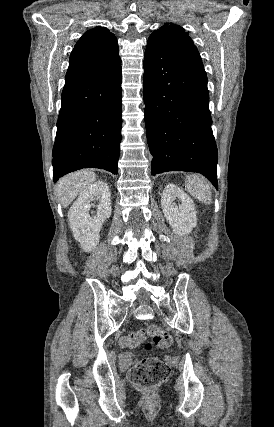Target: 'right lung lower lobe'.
<instances>
[{
  "label": "right lung lower lobe",
  "instance_id": "obj_1",
  "mask_svg": "<svg viewBox=\"0 0 274 427\" xmlns=\"http://www.w3.org/2000/svg\"><path fill=\"white\" fill-rule=\"evenodd\" d=\"M121 62L65 84L53 147V180L82 168L117 174L122 126Z\"/></svg>",
  "mask_w": 274,
  "mask_h": 427
}]
</instances>
